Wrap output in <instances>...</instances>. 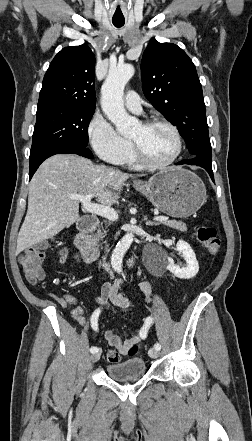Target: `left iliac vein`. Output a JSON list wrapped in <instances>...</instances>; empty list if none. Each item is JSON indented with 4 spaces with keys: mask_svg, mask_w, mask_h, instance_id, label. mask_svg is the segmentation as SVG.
Listing matches in <instances>:
<instances>
[{
    "mask_svg": "<svg viewBox=\"0 0 252 441\" xmlns=\"http://www.w3.org/2000/svg\"><path fill=\"white\" fill-rule=\"evenodd\" d=\"M149 355L151 358H157L159 356V351L155 348L149 350Z\"/></svg>",
    "mask_w": 252,
    "mask_h": 441,
    "instance_id": "4c4485c4",
    "label": "left iliac vein"
}]
</instances>
